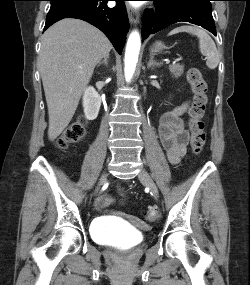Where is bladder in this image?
<instances>
[{
    "label": "bladder",
    "mask_w": 250,
    "mask_h": 285,
    "mask_svg": "<svg viewBox=\"0 0 250 285\" xmlns=\"http://www.w3.org/2000/svg\"><path fill=\"white\" fill-rule=\"evenodd\" d=\"M91 233L97 242L120 248L134 247L143 240L141 232L110 222L105 218L95 220L91 227Z\"/></svg>",
    "instance_id": "obj_1"
}]
</instances>
